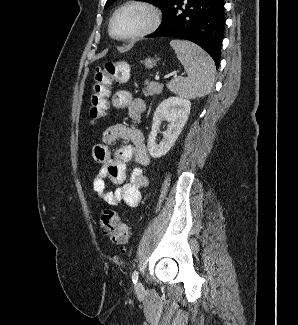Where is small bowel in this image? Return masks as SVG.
Instances as JSON below:
<instances>
[{
  "mask_svg": "<svg viewBox=\"0 0 298 325\" xmlns=\"http://www.w3.org/2000/svg\"><path fill=\"white\" fill-rule=\"evenodd\" d=\"M111 104L115 109H128L130 117L135 121L140 120L145 109L144 103L134 100L126 90L115 92ZM119 141L128 143L112 154L110 147ZM93 159L101 165L93 179V190L100 200L111 206L124 202L130 208L136 207L141 199V190L149 183L145 169L150 156L143 132L125 124L109 126L103 132L102 143L93 148ZM129 161H134L136 166L125 182L126 163ZM107 180L114 186V190H108Z\"/></svg>",
  "mask_w": 298,
  "mask_h": 325,
  "instance_id": "obj_1",
  "label": "small bowel"
}]
</instances>
